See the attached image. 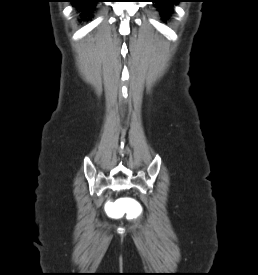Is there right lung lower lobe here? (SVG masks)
<instances>
[{"label": "right lung lower lobe", "mask_w": 258, "mask_h": 275, "mask_svg": "<svg viewBox=\"0 0 258 275\" xmlns=\"http://www.w3.org/2000/svg\"><path fill=\"white\" fill-rule=\"evenodd\" d=\"M98 0H72V2L78 4V7L83 10L84 17H91V12L93 11L94 3Z\"/></svg>", "instance_id": "obj_1"}]
</instances>
